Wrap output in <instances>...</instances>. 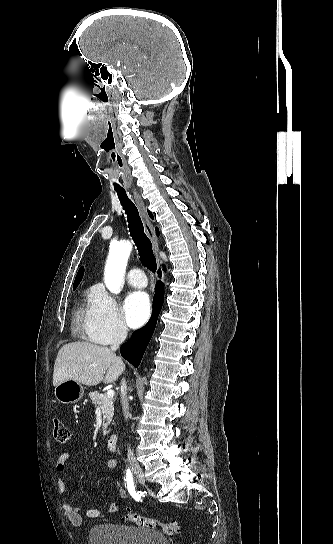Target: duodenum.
Returning a JSON list of instances; mask_svg holds the SVG:
<instances>
[{
  "instance_id": "obj_1",
  "label": "duodenum",
  "mask_w": 333,
  "mask_h": 544,
  "mask_svg": "<svg viewBox=\"0 0 333 544\" xmlns=\"http://www.w3.org/2000/svg\"><path fill=\"white\" fill-rule=\"evenodd\" d=\"M118 447V437L111 435L107 441V448L110 452H116Z\"/></svg>"
}]
</instances>
